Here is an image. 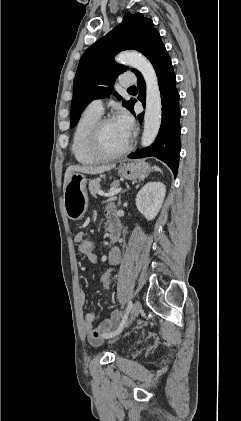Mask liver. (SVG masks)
<instances>
[{
  "mask_svg": "<svg viewBox=\"0 0 241 421\" xmlns=\"http://www.w3.org/2000/svg\"><path fill=\"white\" fill-rule=\"evenodd\" d=\"M114 167H115V164L103 165V166H80V165L69 166L65 172L63 190H65V187L73 173H84V174L96 175V174H101L106 171H109L113 169Z\"/></svg>",
  "mask_w": 241,
  "mask_h": 421,
  "instance_id": "6515ba94",
  "label": "liver"
}]
</instances>
